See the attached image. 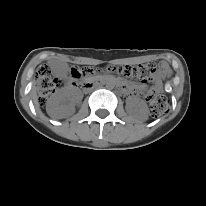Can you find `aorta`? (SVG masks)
Instances as JSON below:
<instances>
[{
    "instance_id": "obj_1",
    "label": "aorta",
    "mask_w": 206,
    "mask_h": 206,
    "mask_svg": "<svg viewBox=\"0 0 206 206\" xmlns=\"http://www.w3.org/2000/svg\"><path fill=\"white\" fill-rule=\"evenodd\" d=\"M114 87H115L114 82H113L111 79H108V80L106 81V88H107V89H113Z\"/></svg>"
}]
</instances>
